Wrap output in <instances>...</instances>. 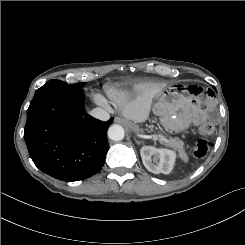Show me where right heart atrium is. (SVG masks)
I'll return each mask as SVG.
<instances>
[{"label":"right heart atrium","mask_w":245,"mask_h":245,"mask_svg":"<svg viewBox=\"0 0 245 245\" xmlns=\"http://www.w3.org/2000/svg\"><path fill=\"white\" fill-rule=\"evenodd\" d=\"M99 101H100V103L104 104V102L102 100H99Z\"/></svg>","instance_id":"d8ad5b80"}]
</instances>
